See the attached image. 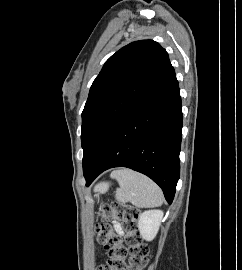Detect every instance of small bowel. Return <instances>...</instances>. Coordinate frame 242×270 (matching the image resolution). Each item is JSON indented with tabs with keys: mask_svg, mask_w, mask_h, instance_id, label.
Wrapping results in <instances>:
<instances>
[{
	"mask_svg": "<svg viewBox=\"0 0 242 270\" xmlns=\"http://www.w3.org/2000/svg\"><path fill=\"white\" fill-rule=\"evenodd\" d=\"M114 228H115L117 233H119V234L122 233V227H121L120 223L114 222Z\"/></svg>",
	"mask_w": 242,
	"mask_h": 270,
	"instance_id": "1",
	"label": "small bowel"
}]
</instances>
